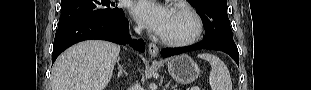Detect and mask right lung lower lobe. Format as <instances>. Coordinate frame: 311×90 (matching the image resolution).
<instances>
[{
  "label": "right lung lower lobe",
  "instance_id": "right-lung-lower-lobe-1",
  "mask_svg": "<svg viewBox=\"0 0 311 90\" xmlns=\"http://www.w3.org/2000/svg\"><path fill=\"white\" fill-rule=\"evenodd\" d=\"M89 39H101L117 44L129 43L135 50L144 52L142 39L130 42L128 19L124 14L114 19L89 18L58 27L55 34L52 63L71 45Z\"/></svg>",
  "mask_w": 311,
  "mask_h": 90
}]
</instances>
